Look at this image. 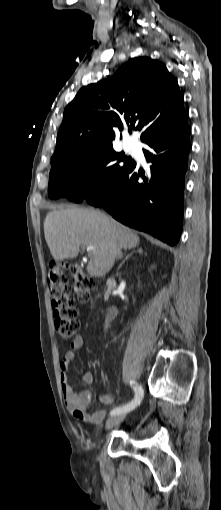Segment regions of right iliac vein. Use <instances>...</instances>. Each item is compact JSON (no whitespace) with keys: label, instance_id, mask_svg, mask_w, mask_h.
Here are the masks:
<instances>
[{"label":"right iliac vein","instance_id":"1","mask_svg":"<svg viewBox=\"0 0 221 510\" xmlns=\"http://www.w3.org/2000/svg\"><path fill=\"white\" fill-rule=\"evenodd\" d=\"M125 418V414H117L110 417L106 422V429H111L112 427L120 424Z\"/></svg>","mask_w":221,"mask_h":510}]
</instances>
